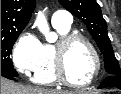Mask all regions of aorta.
Segmentation results:
<instances>
[{
	"mask_svg": "<svg viewBox=\"0 0 121 94\" xmlns=\"http://www.w3.org/2000/svg\"><path fill=\"white\" fill-rule=\"evenodd\" d=\"M35 25L38 27L40 32L45 36L48 42H54L57 39V35L53 32H50L47 19L42 12H39L37 14Z\"/></svg>",
	"mask_w": 121,
	"mask_h": 94,
	"instance_id": "aorta-1",
	"label": "aorta"
}]
</instances>
